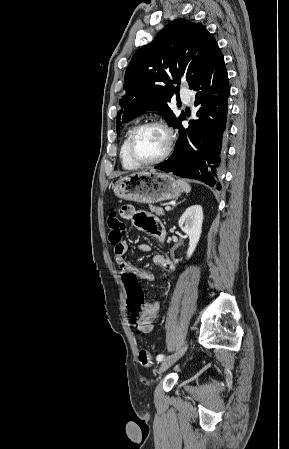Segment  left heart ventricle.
<instances>
[{
	"label": "left heart ventricle",
	"mask_w": 289,
	"mask_h": 449,
	"mask_svg": "<svg viewBox=\"0 0 289 449\" xmlns=\"http://www.w3.org/2000/svg\"><path fill=\"white\" fill-rule=\"evenodd\" d=\"M166 147V135L158 127H147L135 139L134 150L138 159L150 161L159 157Z\"/></svg>",
	"instance_id": "b2bd125f"
}]
</instances>
